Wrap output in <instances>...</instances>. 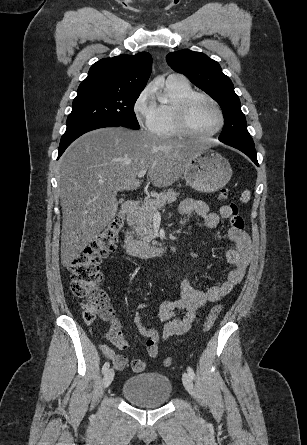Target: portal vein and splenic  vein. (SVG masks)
<instances>
[{"label": "portal vein and splenic vein", "instance_id": "1", "mask_svg": "<svg viewBox=\"0 0 307 445\" xmlns=\"http://www.w3.org/2000/svg\"><path fill=\"white\" fill-rule=\"evenodd\" d=\"M147 170H140V172H138L137 176L138 178H141V176H144V174H146ZM155 216H160V212H155Z\"/></svg>", "mask_w": 307, "mask_h": 445}]
</instances>
